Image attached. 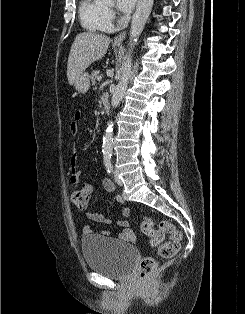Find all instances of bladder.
Masks as SVG:
<instances>
[{
	"label": "bladder",
	"mask_w": 245,
	"mask_h": 314,
	"mask_svg": "<svg viewBox=\"0 0 245 314\" xmlns=\"http://www.w3.org/2000/svg\"><path fill=\"white\" fill-rule=\"evenodd\" d=\"M81 249L86 266L108 277L125 276L138 258L135 248L101 235L83 237Z\"/></svg>",
	"instance_id": "obj_1"
}]
</instances>
